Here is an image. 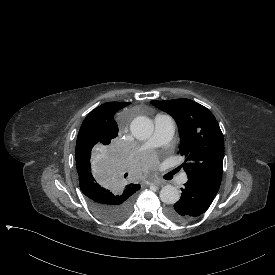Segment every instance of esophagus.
<instances>
[{
    "mask_svg": "<svg viewBox=\"0 0 275 275\" xmlns=\"http://www.w3.org/2000/svg\"><path fill=\"white\" fill-rule=\"evenodd\" d=\"M151 184H152L153 186L159 187V186L162 185V181L159 180V179H153V180L151 181Z\"/></svg>",
    "mask_w": 275,
    "mask_h": 275,
    "instance_id": "1",
    "label": "esophagus"
}]
</instances>
